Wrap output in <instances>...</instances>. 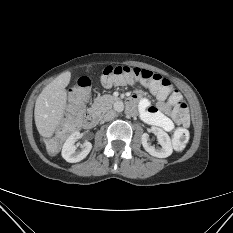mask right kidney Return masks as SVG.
I'll return each mask as SVG.
<instances>
[{
  "label": "right kidney",
  "instance_id": "ca27d5eb",
  "mask_svg": "<svg viewBox=\"0 0 233 233\" xmlns=\"http://www.w3.org/2000/svg\"><path fill=\"white\" fill-rule=\"evenodd\" d=\"M81 137L79 131L73 132L69 137L66 139L65 143L62 147V157L70 163H76L83 160L91 151L92 144L89 141H86L81 145V149L77 151V147L75 142Z\"/></svg>",
  "mask_w": 233,
  "mask_h": 233
}]
</instances>
